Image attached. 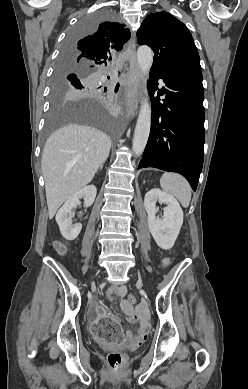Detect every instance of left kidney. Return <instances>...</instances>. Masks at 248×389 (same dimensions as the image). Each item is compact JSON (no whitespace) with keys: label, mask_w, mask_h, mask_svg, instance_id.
Wrapping results in <instances>:
<instances>
[{"label":"left kidney","mask_w":248,"mask_h":389,"mask_svg":"<svg viewBox=\"0 0 248 389\" xmlns=\"http://www.w3.org/2000/svg\"><path fill=\"white\" fill-rule=\"evenodd\" d=\"M157 201L167 205L162 218L156 215L159 210ZM144 206L148 215L149 230L156 244L164 250L171 249L183 224V211L178 201L172 195L154 188L146 193Z\"/></svg>","instance_id":"5707ae66"}]
</instances>
